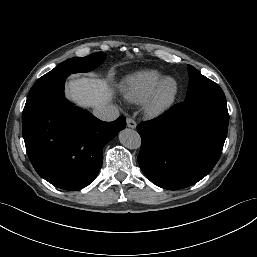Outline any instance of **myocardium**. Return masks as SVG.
<instances>
[{"label": "myocardium", "mask_w": 257, "mask_h": 257, "mask_svg": "<svg viewBox=\"0 0 257 257\" xmlns=\"http://www.w3.org/2000/svg\"><path fill=\"white\" fill-rule=\"evenodd\" d=\"M171 83L172 88L166 91L167 84ZM179 92V85L175 78L164 77L156 86L145 104L148 115L156 117L167 112L174 104Z\"/></svg>", "instance_id": "myocardium-1"}]
</instances>
